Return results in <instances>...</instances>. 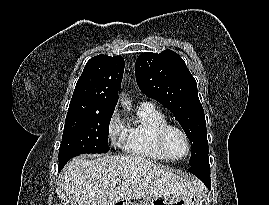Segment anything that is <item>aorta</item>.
<instances>
[{"label": "aorta", "instance_id": "1", "mask_svg": "<svg viewBox=\"0 0 269 205\" xmlns=\"http://www.w3.org/2000/svg\"><path fill=\"white\" fill-rule=\"evenodd\" d=\"M122 104H123V106H128L129 105V102L123 100Z\"/></svg>", "mask_w": 269, "mask_h": 205}]
</instances>
